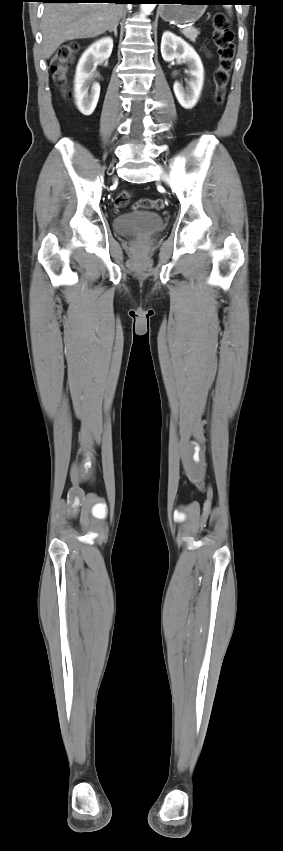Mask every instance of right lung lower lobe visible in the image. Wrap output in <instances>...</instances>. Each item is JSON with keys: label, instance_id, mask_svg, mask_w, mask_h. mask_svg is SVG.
<instances>
[{"label": "right lung lower lobe", "instance_id": "right-lung-lower-lobe-1", "mask_svg": "<svg viewBox=\"0 0 283 851\" xmlns=\"http://www.w3.org/2000/svg\"><path fill=\"white\" fill-rule=\"evenodd\" d=\"M142 0H44V2H74V3H115V4H127V3H140Z\"/></svg>", "mask_w": 283, "mask_h": 851}]
</instances>
